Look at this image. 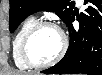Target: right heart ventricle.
I'll list each match as a JSON object with an SVG mask.
<instances>
[{
  "label": "right heart ventricle",
  "instance_id": "1",
  "mask_svg": "<svg viewBox=\"0 0 102 75\" xmlns=\"http://www.w3.org/2000/svg\"><path fill=\"white\" fill-rule=\"evenodd\" d=\"M36 17L33 15H30L26 17L23 22L21 23L20 27L18 28L13 41H12V54H13V60L16 64L17 67L19 68H28L29 65L25 61L22 50H21V45L24 36L26 33L29 31V29L33 26V24L36 22Z\"/></svg>",
  "mask_w": 102,
  "mask_h": 75
}]
</instances>
